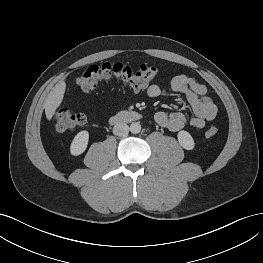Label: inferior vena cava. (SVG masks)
I'll use <instances>...</instances> for the list:
<instances>
[{
	"label": "inferior vena cava",
	"mask_w": 263,
	"mask_h": 263,
	"mask_svg": "<svg viewBox=\"0 0 263 263\" xmlns=\"http://www.w3.org/2000/svg\"><path fill=\"white\" fill-rule=\"evenodd\" d=\"M129 133V126L126 123H117L113 128V134L116 136H126Z\"/></svg>",
	"instance_id": "602c4592"
}]
</instances>
